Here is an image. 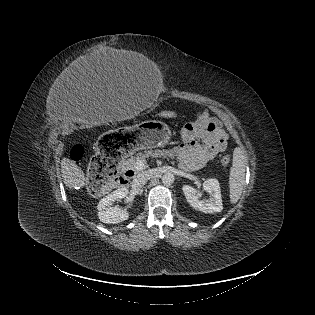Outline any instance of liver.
Here are the masks:
<instances>
[{
  "label": "liver",
  "mask_w": 315,
  "mask_h": 315,
  "mask_svg": "<svg viewBox=\"0 0 315 315\" xmlns=\"http://www.w3.org/2000/svg\"><path fill=\"white\" fill-rule=\"evenodd\" d=\"M130 58L131 52L128 51H103L84 57L79 61L73 71L74 73L85 76L110 74L112 72L124 70L122 60H129ZM121 116H118V118L127 119L129 117L126 114V111H124V113L121 112ZM61 173L63 182L69 188V190L88 185V178L85 176L83 170L69 158L62 159Z\"/></svg>",
  "instance_id": "1"
}]
</instances>
